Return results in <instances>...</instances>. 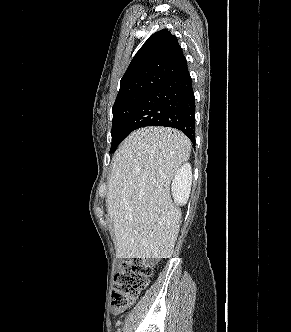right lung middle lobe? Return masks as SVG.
<instances>
[{
    "label": "right lung middle lobe",
    "instance_id": "obj_1",
    "mask_svg": "<svg viewBox=\"0 0 291 332\" xmlns=\"http://www.w3.org/2000/svg\"><path fill=\"white\" fill-rule=\"evenodd\" d=\"M154 88L136 92L115 101L114 106L112 108L113 112V122L111 130L112 144L110 152H114L117 146L126 137L124 133L125 125L127 124L128 120L131 118V116L135 113L139 104L147 97V95Z\"/></svg>",
    "mask_w": 291,
    "mask_h": 332
}]
</instances>
